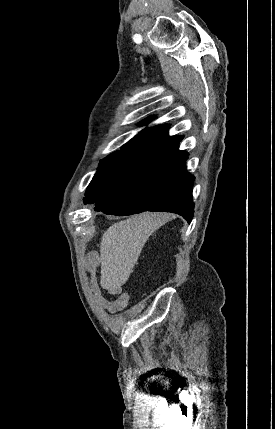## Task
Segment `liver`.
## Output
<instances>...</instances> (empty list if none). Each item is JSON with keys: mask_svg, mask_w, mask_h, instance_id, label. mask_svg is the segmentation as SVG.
<instances>
[{"mask_svg": "<svg viewBox=\"0 0 275 429\" xmlns=\"http://www.w3.org/2000/svg\"><path fill=\"white\" fill-rule=\"evenodd\" d=\"M171 219L166 213H142L110 226L100 243L101 286L115 294L128 280L149 236Z\"/></svg>", "mask_w": 275, "mask_h": 429, "instance_id": "liver-1", "label": "liver"}]
</instances>
